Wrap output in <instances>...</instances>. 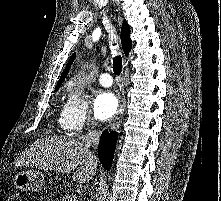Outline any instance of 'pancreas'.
<instances>
[{
    "label": "pancreas",
    "instance_id": "cf45deb5",
    "mask_svg": "<svg viewBox=\"0 0 221 201\" xmlns=\"http://www.w3.org/2000/svg\"><path fill=\"white\" fill-rule=\"evenodd\" d=\"M70 196H71V195H66V196H64V197L62 198V201H68V199H69ZM75 201H79V200L75 199Z\"/></svg>",
    "mask_w": 221,
    "mask_h": 201
}]
</instances>
